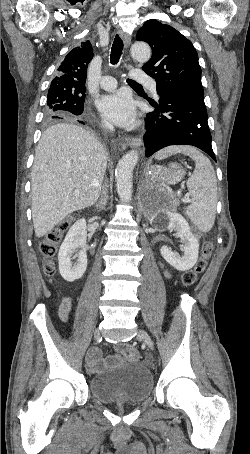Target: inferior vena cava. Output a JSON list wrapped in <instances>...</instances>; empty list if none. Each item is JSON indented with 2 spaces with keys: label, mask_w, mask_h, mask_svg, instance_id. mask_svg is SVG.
Instances as JSON below:
<instances>
[{
  "label": "inferior vena cava",
  "mask_w": 250,
  "mask_h": 454,
  "mask_svg": "<svg viewBox=\"0 0 250 454\" xmlns=\"http://www.w3.org/2000/svg\"><path fill=\"white\" fill-rule=\"evenodd\" d=\"M105 127L108 128L110 131H113V127L108 123L105 124Z\"/></svg>",
  "instance_id": "inferior-vena-cava-1"
}]
</instances>
